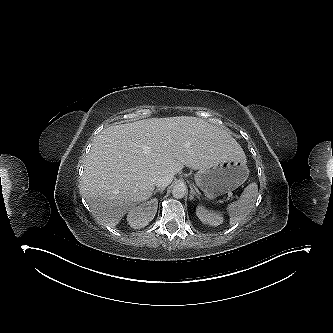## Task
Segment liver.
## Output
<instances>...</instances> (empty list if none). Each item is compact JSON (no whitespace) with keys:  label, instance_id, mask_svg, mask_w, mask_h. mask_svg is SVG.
I'll return each instance as SVG.
<instances>
[{"label":"liver","instance_id":"liver-1","mask_svg":"<svg viewBox=\"0 0 333 333\" xmlns=\"http://www.w3.org/2000/svg\"><path fill=\"white\" fill-rule=\"evenodd\" d=\"M245 159L226 129L197 117L149 118L109 126L92 143L81 191L92 214L115 227L137 204L148 200L159 175L184 166L205 169Z\"/></svg>","mask_w":333,"mask_h":333}]
</instances>
